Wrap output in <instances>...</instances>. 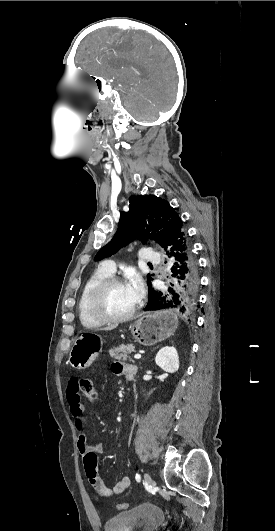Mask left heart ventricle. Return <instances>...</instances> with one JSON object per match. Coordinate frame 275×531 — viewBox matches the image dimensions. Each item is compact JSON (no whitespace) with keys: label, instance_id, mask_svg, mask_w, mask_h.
<instances>
[{"label":"left heart ventricle","instance_id":"b2bd125f","mask_svg":"<svg viewBox=\"0 0 275 531\" xmlns=\"http://www.w3.org/2000/svg\"><path fill=\"white\" fill-rule=\"evenodd\" d=\"M134 299L126 281L112 285L103 299L104 310L112 316H122L135 305Z\"/></svg>","mask_w":275,"mask_h":531}]
</instances>
